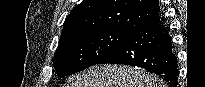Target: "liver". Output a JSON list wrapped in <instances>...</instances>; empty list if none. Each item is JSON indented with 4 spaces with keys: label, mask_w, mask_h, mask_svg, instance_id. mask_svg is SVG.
Listing matches in <instances>:
<instances>
[{
    "label": "liver",
    "mask_w": 205,
    "mask_h": 87,
    "mask_svg": "<svg viewBox=\"0 0 205 87\" xmlns=\"http://www.w3.org/2000/svg\"><path fill=\"white\" fill-rule=\"evenodd\" d=\"M66 87H163V82L142 69L104 64L71 76Z\"/></svg>",
    "instance_id": "obj_1"
}]
</instances>
